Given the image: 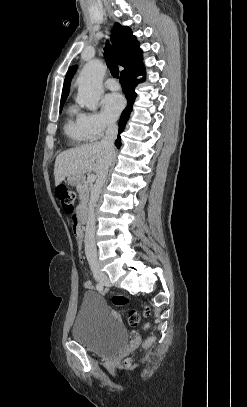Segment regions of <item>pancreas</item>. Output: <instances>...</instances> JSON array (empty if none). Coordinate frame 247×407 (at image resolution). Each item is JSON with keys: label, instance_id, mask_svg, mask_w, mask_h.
Instances as JSON below:
<instances>
[{"label": "pancreas", "instance_id": "obj_1", "mask_svg": "<svg viewBox=\"0 0 247 407\" xmlns=\"http://www.w3.org/2000/svg\"><path fill=\"white\" fill-rule=\"evenodd\" d=\"M92 184L88 181L77 185L76 189L80 198V206L85 207L89 199V192L91 190Z\"/></svg>", "mask_w": 247, "mask_h": 407}]
</instances>
